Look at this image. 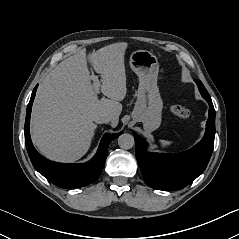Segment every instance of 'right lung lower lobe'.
<instances>
[{"label":"right lung lower lobe","mask_w":239,"mask_h":239,"mask_svg":"<svg viewBox=\"0 0 239 239\" xmlns=\"http://www.w3.org/2000/svg\"><path fill=\"white\" fill-rule=\"evenodd\" d=\"M37 86L34 88L27 106L24 128L25 145L34 168L47 180L61 188H79L91 184L98 179L104 167L109 143L120 136L122 132L105 135L100 142L97 154L85 164H63L47 160L35 150L29 131L31 108Z\"/></svg>","instance_id":"98d812e1"}]
</instances>
